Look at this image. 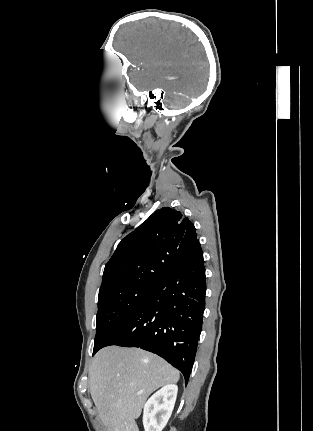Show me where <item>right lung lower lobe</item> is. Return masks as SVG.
<instances>
[{"instance_id": "obj_1", "label": "right lung lower lobe", "mask_w": 313, "mask_h": 431, "mask_svg": "<svg viewBox=\"0 0 313 431\" xmlns=\"http://www.w3.org/2000/svg\"><path fill=\"white\" fill-rule=\"evenodd\" d=\"M205 269L199 240L102 346L139 347L180 370L188 383L205 309Z\"/></svg>"}]
</instances>
